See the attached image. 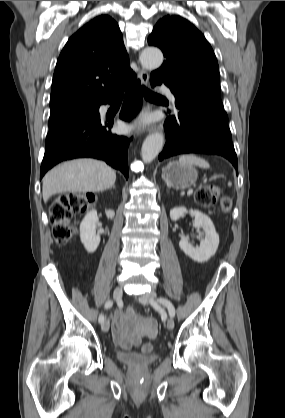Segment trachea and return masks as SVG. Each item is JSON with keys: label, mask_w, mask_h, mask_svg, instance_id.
Here are the masks:
<instances>
[{"label": "trachea", "mask_w": 285, "mask_h": 418, "mask_svg": "<svg viewBox=\"0 0 285 418\" xmlns=\"http://www.w3.org/2000/svg\"><path fill=\"white\" fill-rule=\"evenodd\" d=\"M141 93L143 94V96L145 97V98H161V96L160 95H157V94H155V93H153V92H151L150 90H148L145 86H141ZM118 98H122V93H120L119 95H118Z\"/></svg>", "instance_id": "obj_1"}]
</instances>
